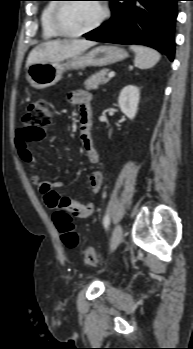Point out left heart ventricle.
Returning <instances> with one entry per match:
<instances>
[{"label":"left heart ventricle","instance_id":"left-heart-ventricle-1","mask_svg":"<svg viewBox=\"0 0 193 349\" xmlns=\"http://www.w3.org/2000/svg\"><path fill=\"white\" fill-rule=\"evenodd\" d=\"M100 14L101 8L98 3H69L62 9L60 21L65 30L78 32L90 27Z\"/></svg>","mask_w":193,"mask_h":349}]
</instances>
